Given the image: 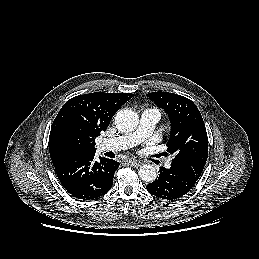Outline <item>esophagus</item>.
<instances>
[{
  "label": "esophagus",
  "instance_id": "esophagus-1",
  "mask_svg": "<svg viewBox=\"0 0 259 259\" xmlns=\"http://www.w3.org/2000/svg\"><path fill=\"white\" fill-rule=\"evenodd\" d=\"M127 162H128L131 166H133V167H139V166H141V162L138 161V160H136V159H129V160H127Z\"/></svg>",
  "mask_w": 259,
  "mask_h": 259
}]
</instances>
